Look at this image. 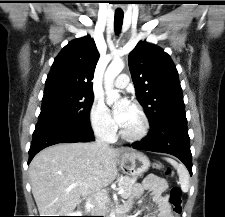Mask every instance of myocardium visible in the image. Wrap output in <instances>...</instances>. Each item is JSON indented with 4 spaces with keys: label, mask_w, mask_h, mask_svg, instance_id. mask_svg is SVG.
<instances>
[{
    "label": "myocardium",
    "mask_w": 225,
    "mask_h": 217,
    "mask_svg": "<svg viewBox=\"0 0 225 217\" xmlns=\"http://www.w3.org/2000/svg\"><path fill=\"white\" fill-rule=\"evenodd\" d=\"M131 106L140 116V119H141L140 128L135 133H128L121 128L119 133L124 140L129 142H137V141H141L148 135V132L150 129V123H149V119L146 112L144 111L143 107L139 103L132 102Z\"/></svg>",
    "instance_id": "f54148a6"
}]
</instances>
